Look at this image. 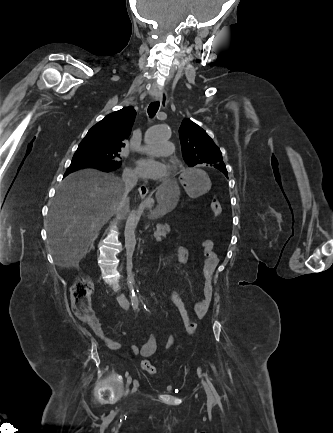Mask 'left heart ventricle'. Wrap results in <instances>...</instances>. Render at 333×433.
I'll use <instances>...</instances> for the list:
<instances>
[{
	"label": "left heart ventricle",
	"mask_w": 333,
	"mask_h": 433,
	"mask_svg": "<svg viewBox=\"0 0 333 433\" xmlns=\"http://www.w3.org/2000/svg\"><path fill=\"white\" fill-rule=\"evenodd\" d=\"M161 156H162V155H153V157H154L155 159H161Z\"/></svg>",
	"instance_id": "b2bd125f"
}]
</instances>
